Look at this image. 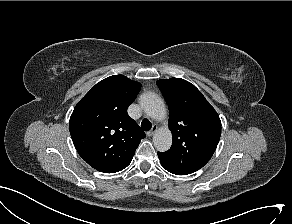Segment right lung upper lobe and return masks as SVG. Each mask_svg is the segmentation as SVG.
<instances>
[{"label": "right lung upper lobe", "instance_id": "right-lung-upper-lobe-1", "mask_svg": "<svg viewBox=\"0 0 292 224\" xmlns=\"http://www.w3.org/2000/svg\"><path fill=\"white\" fill-rule=\"evenodd\" d=\"M141 89L124 75L97 83L75 106L70 134L79 155L93 168L104 169L133 158L145 133L127 114Z\"/></svg>", "mask_w": 292, "mask_h": 224}]
</instances>
